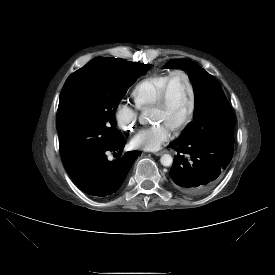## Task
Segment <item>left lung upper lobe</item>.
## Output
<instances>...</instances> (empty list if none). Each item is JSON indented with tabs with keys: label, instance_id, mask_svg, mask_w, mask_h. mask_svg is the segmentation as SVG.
<instances>
[{
	"label": "left lung upper lobe",
	"instance_id": "left-lung-upper-lobe-1",
	"mask_svg": "<svg viewBox=\"0 0 275 275\" xmlns=\"http://www.w3.org/2000/svg\"><path fill=\"white\" fill-rule=\"evenodd\" d=\"M165 66L185 70L195 93L194 120L175 141L225 139L233 143L235 119L217 79L189 59L170 60Z\"/></svg>",
	"mask_w": 275,
	"mask_h": 275
}]
</instances>
